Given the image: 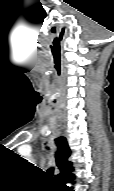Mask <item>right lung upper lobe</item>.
I'll return each instance as SVG.
<instances>
[{"mask_svg":"<svg viewBox=\"0 0 114 191\" xmlns=\"http://www.w3.org/2000/svg\"><path fill=\"white\" fill-rule=\"evenodd\" d=\"M56 143L58 146V150L56 152V163L60 169V174L55 177L56 179H60L70 173L73 170V167L71 166L72 163L68 161L71 151L68 147L66 139L61 137L56 139Z\"/></svg>","mask_w":114,"mask_h":191,"instance_id":"right-lung-upper-lobe-1","label":"right lung upper lobe"}]
</instances>
